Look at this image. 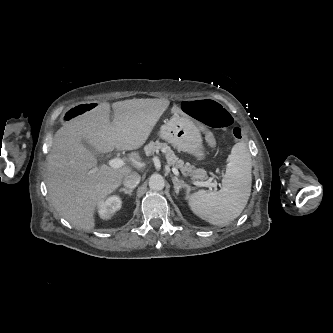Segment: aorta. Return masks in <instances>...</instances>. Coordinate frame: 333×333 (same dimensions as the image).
Returning <instances> with one entry per match:
<instances>
[{
	"label": "aorta",
	"instance_id": "aorta-1",
	"mask_svg": "<svg viewBox=\"0 0 333 333\" xmlns=\"http://www.w3.org/2000/svg\"><path fill=\"white\" fill-rule=\"evenodd\" d=\"M165 181L160 174H153L149 179V187L151 190L160 191L164 188Z\"/></svg>",
	"mask_w": 333,
	"mask_h": 333
}]
</instances>
